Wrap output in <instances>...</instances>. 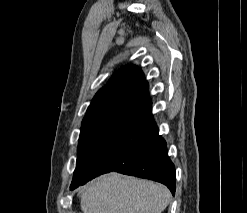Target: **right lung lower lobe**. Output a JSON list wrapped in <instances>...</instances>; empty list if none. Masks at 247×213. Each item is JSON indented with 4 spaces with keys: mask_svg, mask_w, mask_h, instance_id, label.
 Masks as SVG:
<instances>
[{
    "mask_svg": "<svg viewBox=\"0 0 247 213\" xmlns=\"http://www.w3.org/2000/svg\"><path fill=\"white\" fill-rule=\"evenodd\" d=\"M151 106L147 99L131 108L116 141L98 161L96 176L116 171L146 178L166 185L174 195L175 167L165 140L158 135Z\"/></svg>",
    "mask_w": 247,
    "mask_h": 213,
    "instance_id": "98d812e1",
    "label": "right lung lower lobe"
}]
</instances>
